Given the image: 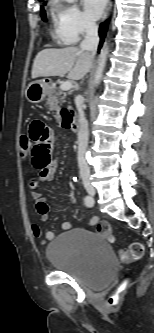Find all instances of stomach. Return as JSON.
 <instances>
[{"label": "stomach", "instance_id": "0dacf381", "mask_svg": "<svg viewBox=\"0 0 154 333\" xmlns=\"http://www.w3.org/2000/svg\"><path fill=\"white\" fill-rule=\"evenodd\" d=\"M49 93V83L46 80L31 82L25 90L26 99L33 104L40 103Z\"/></svg>", "mask_w": 154, "mask_h": 333}]
</instances>
